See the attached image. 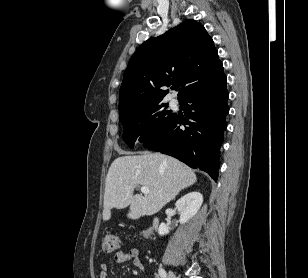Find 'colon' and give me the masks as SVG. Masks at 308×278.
<instances>
[{"label": "colon", "instance_id": "1", "mask_svg": "<svg viewBox=\"0 0 308 278\" xmlns=\"http://www.w3.org/2000/svg\"><path fill=\"white\" fill-rule=\"evenodd\" d=\"M152 231H153V228L151 226H148L146 228L145 235L147 237H151L153 235ZM119 245H120V239L116 235H107L102 240V250L105 253H110V252L115 251L119 247Z\"/></svg>", "mask_w": 308, "mask_h": 278}]
</instances>
